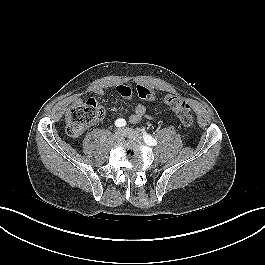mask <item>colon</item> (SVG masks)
I'll return each mask as SVG.
<instances>
[{
	"mask_svg": "<svg viewBox=\"0 0 265 265\" xmlns=\"http://www.w3.org/2000/svg\"><path fill=\"white\" fill-rule=\"evenodd\" d=\"M136 93L140 99L153 101L156 99L155 92L145 86L137 85ZM164 103L172 108L182 125L189 127L193 123V114L189 103L176 95H166ZM104 110L95 100L72 106L66 113V130L69 136L78 137L92 123L100 120Z\"/></svg>",
	"mask_w": 265,
	"mask_h": 265,
	"instance_id": "1",
	"label": "colon"
}]
</instances>
